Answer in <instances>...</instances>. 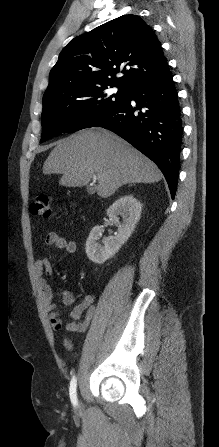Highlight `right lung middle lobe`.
Here are the masks:
<instances>
[{
  "label": "right lung middle lobe",
  "instance_id": "1",
  "mask_svg": "<svg viewBox=\"0 0 219 447\" xmlns=\"http://www.w3.org/2000/svg\"><path fill=\"white\" fill-rule=\"evenodd\" d=\"M113 87H117V91L113 92ZM129 94L128 89L109 84L93 88L84 94H53L43 97L41 141L63 132H75L90 127L111 109L124 103Z\"/></svg>",
  "mask_w": 219,
  "mask_h": 447
}]
</instances>
